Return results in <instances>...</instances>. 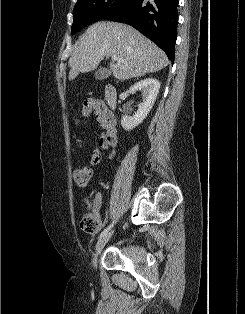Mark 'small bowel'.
Here are the masks:
<instances>
[{
	"instance_id": "small-bowel-1",
	"label": "small bowel",
	"mask_w": 245,
	"mask_h": 314,
	"mask_svg": "<svg viewBox=\"0 0 245 314\" xmlns=\"http://www.w3.org/2000/svg\"><path fill=\"white\" fill-rule=\"evenodd\" d=\"M91 114L94 115L97 125L102 129V133L97 147L90 151L89 160L93 166H99L110 161L116 153L117 127L113 115L108 113L101 100L91 98L84 102L82 115L88 119ZM100 204L101 197L97 196L94 201V211L99 209ZM99 228H102V224Z\"/></svg>"
}]
</instances>
